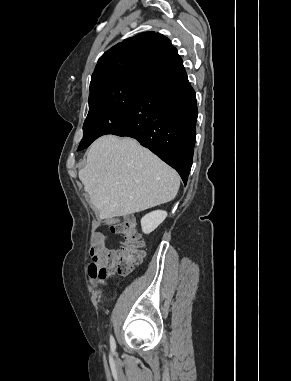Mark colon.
<instances>
[{
	"label": "colon",
	"instance_id": "colon-1",
	"mask_svg": "<svg viewBox=\"0 0 291 381\" xmlns=\"http://www.w3.org/2000/svg\"><path fill=\"white\" fill-rule=\"evenodd\" d=\"M112 233L121 237L119 249L105 246L94 249L89 274L105 279L118 273L128 275L134 266L140 264L145 255L144 242L131 217L107 221Z\"/></svg>",
	"mask_w": 291,
	"mask_h": 381
}]
</instances>
